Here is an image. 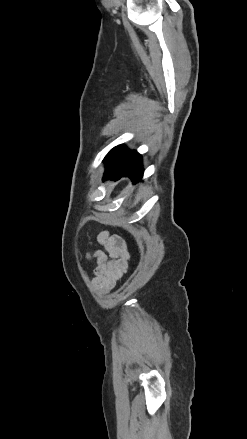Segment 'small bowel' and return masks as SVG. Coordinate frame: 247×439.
<instances>
[{
  "mask_svg": "<svg viewBox=\"0 0 247 439\" xmlns=\"http://www.w3.org/2000/svg\"><path fill=\"white\" fill-rule=\"evenodd\" d=\"M98 242L106 253L98 250L88 254L89 259L96 260L93 283L102 291H109L119 282L128 270L130 254L125 241L116 235L102 232Z\"/></svg>",
  "mask_w": 247,
  "mask_h": 439,
  "instance_id": "c3829d8e",
  "label": "small bowel"
}]
</instances>
